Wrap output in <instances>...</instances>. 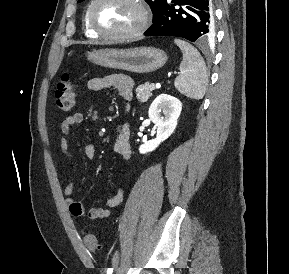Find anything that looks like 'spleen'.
Masks as SVG:
<instances>
[{
  "label": "spleen",
  "mask_w": 289,
  "mask_h": 274,
  "mask_svg": "<svg viewBox=\"0 0 289 274\" xmlns=\"http://www.w3.org/2000/svg\"><path fill=\"white\" fill-rule=\"evenodd\" d=\"M174 41L183 53L180 74L174 81L175 88L187 97L202 99L208 82L205 62L191 44L182 39Z\"/></svg>",
  "instance_id": "obj_1"
}]
</instances>
